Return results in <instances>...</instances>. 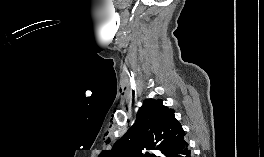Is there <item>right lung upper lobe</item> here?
<instances>
[{
	"instance_id": "1",
	"label": "right lung upper lobe",
	"mask_w": 264,
	"mask_h": 157,
	"mask_svg": "<svg viewBox=\"0 0 264 157\" xmlns=\"http://www.w3.org/2000/svg\"><path fill=\"white\" fill-rule=\"evenodd\" d=\"M162 102V99L145 100L135 124L111 150L102 152L99 157H155L150 150H159L166 156L182 143L185 132L174 117V110Z\"/></svg>"
}]
</instances>
